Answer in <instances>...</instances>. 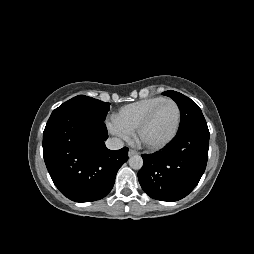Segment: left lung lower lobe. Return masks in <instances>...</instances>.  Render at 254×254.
<instances>
[{
  "label": "left lung lower lobe",
  "instance_id": "obj_1",
  "mask_svg": "<svg viewBox=\"0 0 254 254\" xmlns=\"http://www.w3.org/2000/svg\"><path fill=\"white\" fill-rule=\"evenodd\" d=\"M209 130L192 128L181 133L155 154H144L138 172L142 189L153 199L178 201L202 177L208 159Z\"/></svg>",
  "mask_w": 254,
  "mask_h": 254
}]
</instances>
